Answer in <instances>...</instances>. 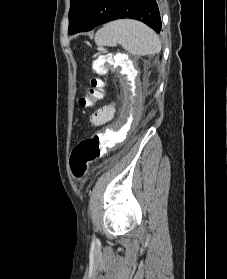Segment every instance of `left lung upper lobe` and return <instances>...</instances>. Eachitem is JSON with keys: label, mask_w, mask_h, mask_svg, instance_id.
<instances>
[{"label": "left lung upper lobe", "mask_w": 227, "mask_h": 279, "mask_svg": "<svg viewBox=\"0 0 227 279\" xmlns=\"http://www.w3.org/2000/svg\"><path fill=\"white\" fill-rule=\"evenodd\" d=\"M93 0H71L69 10V34H75L82 26Z\"/></svg>", "instance_id": "1"}]
</instances>
